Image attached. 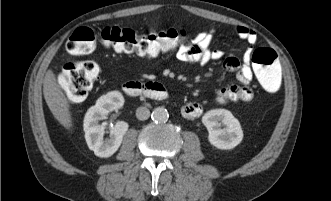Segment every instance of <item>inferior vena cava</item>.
I'll list each match as a JSON object with an SVG mask.
<instances>
[{
  "label": "inferior vena cava",
  "mask_w": 331,
  "mask_h": 201,
  "mask_svg": "<svg viewBox=\"0 0 331 201\" xmlns=\"http://www.w3.org/2000/svg\"><path fill=\"white\" fill-rule=\"evenodd\" d=\"M136 117L139 120H147L150 117V111L146 107H138L136 110Z\"/></svg>",
  "instance_id": "1"
}]
</instances>
